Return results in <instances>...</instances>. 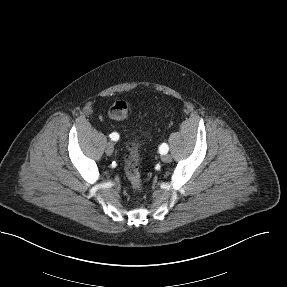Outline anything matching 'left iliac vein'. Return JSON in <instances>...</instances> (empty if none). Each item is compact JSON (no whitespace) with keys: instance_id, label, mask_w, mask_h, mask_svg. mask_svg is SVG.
Returning <instances> with one entry per match:
<instances>
[{"instance_id":"1","label":"left iliac vein","mask_w":287,"mask_h":287,"mask_svg":"<svg viewBox=\"0 0 287 287\" xmlns=\"http://www.w3.org/2000/svg\"><path fill=\"white\" fill-rule=\"evenodd\" d=\"M161 159H162L163 162L168 163V162H170L172 160V157H171L170 154L166 153V154L162 155Z\"/></svg>"}]
</instances>
